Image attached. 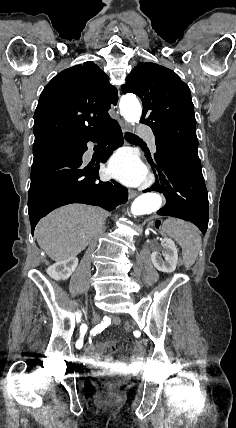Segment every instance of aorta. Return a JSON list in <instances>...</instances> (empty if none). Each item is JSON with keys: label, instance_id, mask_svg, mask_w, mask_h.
<instances>
[{"label": "aorta", "instance_id": "1", "mask_svg": "<svg viewBox=\"0 0 236 428\" xmlns=\"http://www.w3.org/2000/svg\"><path fill=\"white\" fill-rule=\"evenodd\" d=\"M121 115L131 123H138L142 114L141 105L135 95L129 94L121 98L119 104ZM162 206V198L157 193H144L137 197L131 205L133 215H144L156 212Z\"/></svg>", "mask_w": 236, "mask_h": 428}]
</instances>
